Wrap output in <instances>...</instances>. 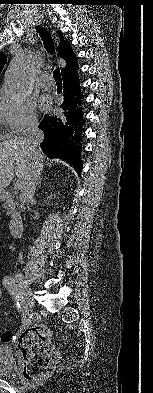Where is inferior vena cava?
<instances>
[{"mask_svg": "<svg viewBox=\"0 0 153 393\" xmlns=\"http://www.w3.org/2000/svg\"><path fill=\"white\" fill-rule=\"evenodd\" d=\"M44 138L43 132L38 128V124L35 123L32 125L26 135V140L29 146V149L33 152V154L38 155L41 152V149L39 147V144ZM44 160V157L42 155H39L35 160H34V167L32 169V172L30 175L27 176L25 181L21 185V193H20V202L21 205L20 207L23 208L24 204L33 198L35 194V190L38 184V181L40 180V175L42 171V161Z\"/></svg>", "mask_w": 153, "mask_h": 393, "instance_id": "602c4592", "label": "inferior vena cava"}]
</instances>
